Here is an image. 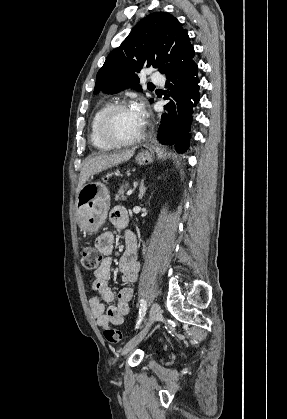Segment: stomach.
Masks as SVG:
<instances>
[{
  "instance_id": "0dacf381",
  "label": "stomach",
  "mask_w": 287,
  "mask_h": 419,
  "mask_svg": "<svg viewBox=\"0 0 287 419\" xmlns=\"http://www.w3.org/2000/svg\"><path fill=\"white\" fill-rule=\"evenodd\" d=\"M139 165L152 162L153 155L148 150L140 152L136 158ZM110 207V193L101 182H86L76 199V217L81 228L95 233L104 224Z\"/></svg>"
}]
</instances>
